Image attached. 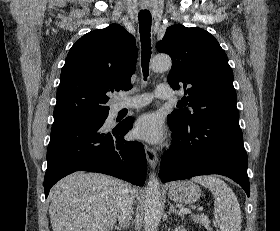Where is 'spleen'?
Returning <instances> with one entry per match:
<instances>
[{
  "mask_svg": "<svg viewBox=\"0 0 280 231\" xmlns=\"http://www.w3.org/2000/svg\"><path fill=\"white\" fill-rule=\"evenodd\" d=\"M192 179L212 191L215 221L221 231H241V209L233 189L217 175H196Z\"/></svg>",
  "mask_w": 280,
  "mask_h": 231,
  "instance_id": "1",
  "label": "spleen"
}]
</instances>
